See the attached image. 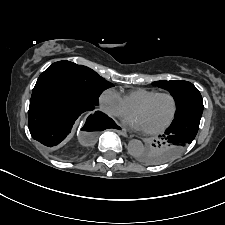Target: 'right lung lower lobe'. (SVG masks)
Segmentation results:
<instances>
[{
    "label": "right lung lower lobe",
    "instance_id": "right-lung-lower-lobe-1",
    "mask_svg": "<svg viewBox=\"0 0 225 225\" xmlns=\"http://www.w3.org/2000/svg\"><path fill=\"white\" fill-rule=\"evenodd\" d=\"M98 105V104H97ZM96 104L70 80L55 74H41L32 90L28 127L33 139L54 150L69 135L77 118L94 110ZM88 130H104L115 123L97 111L89 117ZM85 126V127H86Z\"/></svg>",
    "mask_w": 225,
    "mask_h": 225
}]
</instances>
